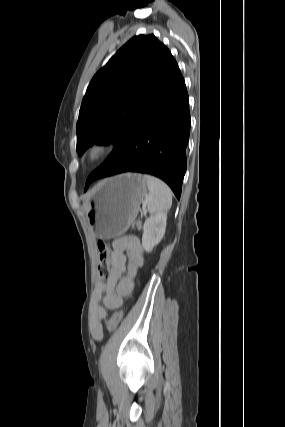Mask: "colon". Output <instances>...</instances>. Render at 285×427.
Here are the masks:
<instances>
[{
	"label": "colon",
	"instance_id": "5ec220e1",
	"mask_svg": "<svg viewBox=\"0 0 285 427\" xmlns=\"http://www.w3.org/2000/svg\"><path fill=\"white\" fill-rule=\"evenodd\" d=\"M98 248V265H97V282L98 284L104 283L110 273V266H109V246L103 242L99 241L97 244ZM123 317V311L117 310L113 313L111 318L109 319L107 323L108 330H114L117 325L120 323L121 319Z\"/></svg>",
	"mask_w": 285,
	"mask_h": 427
}]
</instances>
